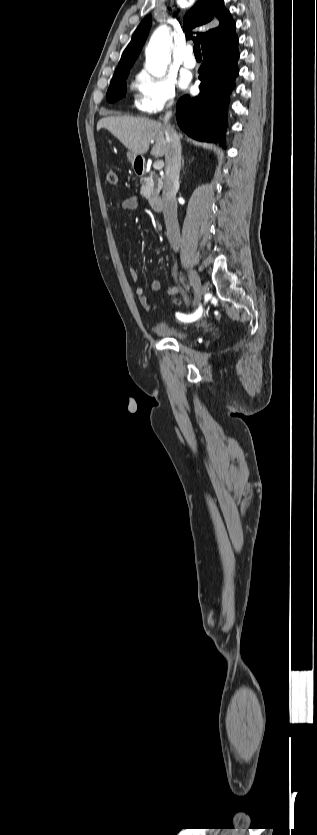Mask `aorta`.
Masks as SVG:
<instances>
[{
  "label": "aorta",
  "mask_w": 317,
  "mask_h": 835,
  "mask_svg": "<svg viewBox=\"0 0 317 835\" xmlns=\"http://www.w3.org/2000/svg\"><path fill=\"white\" fill-rule=\"evenodd\" d=\"M172 37L166 26L159 27L151 36L146 48L147 71L154 77L160 78L165 75L167 66L171 60L170 47Z\"/></svg>",
  "instance_id": "aorta-1"
}]
</instances>
